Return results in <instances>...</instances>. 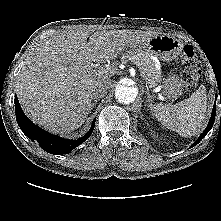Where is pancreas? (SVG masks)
<instances>
[{
	"mask_svg": "<svg viewBox=\"0 0 221 221\" xmlns=\"http://www.w3.org/2000/svg\"><path fill=\"white\" fill-rule=\"evenodd\" d=\"M135 52H128L124 59L131 58ZM134 64L139 68L141 76L151 87H155L162 80L161 71L158 70L154 62L145 55L139 56L134 60Z\"/></svg>",
	"mask_w": 221,
	"mask_h": 221,
	"instance_id": "pancreas-1",
	"label": "pancreas"
}]
</instances>
